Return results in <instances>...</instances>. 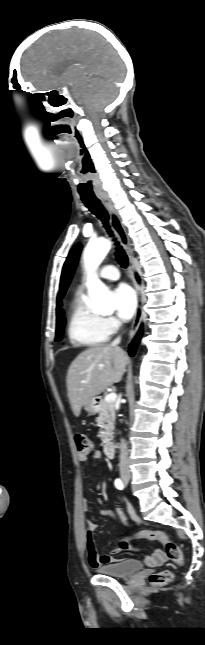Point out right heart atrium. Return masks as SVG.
<instances>
[{"instance_id":"1","label":"right heart atrium","mask_w":205,"mask_h":645,"mask_svg":"<svg viewBox=\"0 0 205 645\" xmlns=\"http://www.w3.org/2000/svg\"><path fill=\"white\" fill-rule=\"evenodd\" d=\"M107 328L109 329L110 333H113L116 331L119 327V322L117 319L114 317H108L105 319Z\"/></svg>"}]
</instances>
